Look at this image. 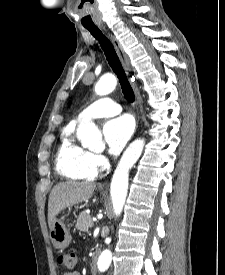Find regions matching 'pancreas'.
<instances>
[{
	"label": "pancreas",
	"mask_w": 225,
	"mask_h": 275,
	"mask_svg": "<svg viewBox=\"0 0 225 275\" xmlns=\"http://www.w3.org/2000/svg\"><path fill=\"white\" fill-rule=\"evenodd\" d=\"M91 216L86 212H81L77 218L76 229L86 232L89 227H92Z\"/></svg>",
	"instance_id": "pancreas-1"
}]
</instances>
